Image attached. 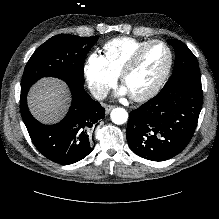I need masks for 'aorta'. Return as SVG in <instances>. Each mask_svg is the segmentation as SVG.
I'll return each instance as SVG.
<instances>
[{
    "instance_id": "1",
    "label": "aorta",
    "mask_w": 219,
    "mask_h": 219,
    "mask_svg": "<svg viewBox=\"0 0 219 219\" xmlns=\"http://www.w3.org/2000/svg\"><path fill=\"white\" fill-rule=\"evenodd\" d=\"M111 120L114 124L122 125L128 120V113L123 108H115L111 111Z\"/></svg>"
}]
</instances>
